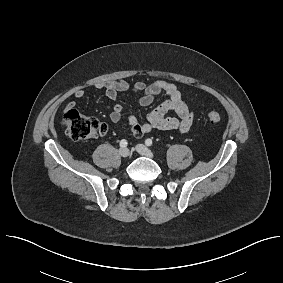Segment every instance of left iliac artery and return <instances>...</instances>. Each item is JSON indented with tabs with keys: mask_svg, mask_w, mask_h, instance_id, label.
I'll use <instances>...</instances> for the list:
<instances>
[{
	"mask_svg": "<svg viewBox=\"0 0 283 283\" xmlns=\"http://www.w3.org/2000/svg\"><path fill=\"white\" fill-rule=\"evenodd\" d=\"M145 144L147 146H152V140L151 139H146Z\"/></svg>",
	"mask_w": 283,
	"mask_h": 283,
	"instance_id": "left-iliac-artery-1",
	"label": "left iliac artery"
}]
</instances>
